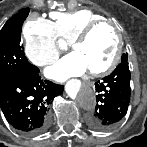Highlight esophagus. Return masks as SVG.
I'll return each mask as SVG.
<instances>
[{
    "label": "esophagus",
    "mask_w": 147,
    "mask_h": 147,
    "mask_svg": "<svg viewBox=\"0 0 147 147\" xmlns=\"http://www.w3.org/2000/svg\"><path fill=\"white\" fill-rule=\"evenodd\" d=\"M88 84L92 87L93 86V83L92 82H88Z\"/></svg>",
    "instance_id": "34e87169"
}]
</instances>
